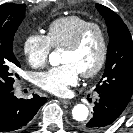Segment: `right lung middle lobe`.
<instances>
[{
  "instance_id": "right-lung-middle-lobe-1",
  "label": "right lung middle lobe",
  "mask_w": 133,
  "mask_h": 133,
  "mask_svg": "<svg viewBox=\"0 0 133 133\" xmlns=\"http://www.w3.org/2000/svg\"><path fill=\"white\" fill-rule=\"evenodd\" d=\"M25 4L7 3L0 6V94L13 89L20 67L13 53L14 35L25 18Z\"/></svg>"
}]
</instances>
